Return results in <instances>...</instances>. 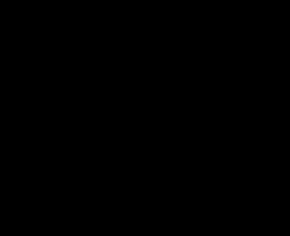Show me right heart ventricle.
<instances>
[{
	"label": "right heart ventricle",
	"mask_w": 290,
	"mask_h": 236,
	"mask_svg": "<svg viewBox=\"0 0 290 236\" xmlns=\"http://www.w3.org/2000/svg\"><path fill=\"white\" fill-rule=\"evenodd\" d=\"M174 62L173 58H159L152 61L139 72V82L145 89H152L164 78Z\"/></svg>",
	"instance_id": "e07e8e85"
}]
</instances>
